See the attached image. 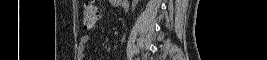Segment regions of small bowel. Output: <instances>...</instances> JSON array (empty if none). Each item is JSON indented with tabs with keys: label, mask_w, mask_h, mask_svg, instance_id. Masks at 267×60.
I'll list each match as a JSON object with an SVG mask.
<instances>
[{
	"label": "small bowel",
	"mask_w": 267,
	"mask_h": 60,
	"mask_svg": "<svg viewBox=\"0 0 267 60\" xmlns=\"http://www.w3.org/2000/svg\"><path fill=\"white\" fill-rule=\"evenodd\" d=\"M88 40H89V36H88V35H83V36L81 37V44H82V45H86L87 42H88Z\"/></svg>",
	"instance_id": "c3829d8e"
}]
</instances>
